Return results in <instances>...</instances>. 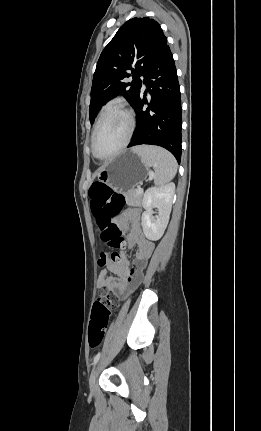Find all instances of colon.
I'll use <instances>...</instances> for the list:
<instances>
[{"instance_id":"colon-1","label":"colon","mask_w":261,"mask_h":431,"mask_svg":"<svg viewBox=\"0 0 261 431\" xmlns=\"http://www.w3.org/2000/svg\"><path fill=\"white\" fill-rule=\"evenodd\" d=\"M89 198L92 213L99 227L101 240L112 249L120 248L123 243V237L121 228L115 221V216L119 214L124 206V196L102 182H93L89 188ZM120 258L121 254L117 251H112L109 254L103 253L99 264L116 263ZM115 302L116 299L112 294L102 291L94 303L88 331L91 348H96L102 343L108 328L110 309Z\"/></svg>"}]
</instances>
